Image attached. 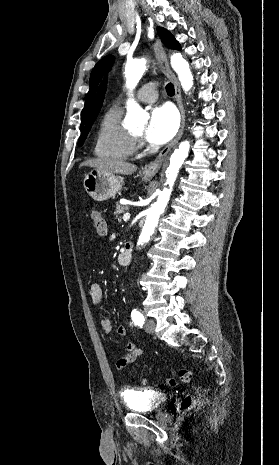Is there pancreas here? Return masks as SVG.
Instances as JSON below:
<instances>
[{"instance_id": "1", "label": "pancreas", "mask_w": 279, "mask_h": 465, "mask_svg": "<svg viewBox=\"0 0 279 465\" xmlns=\"http://www.w3.org/2000/svg\"><path fill=\"white\" fill-rule=\"evenodd\" d=\"M128 210V206L120 205L119 203L116 204V210L114 212L116 218L121 221L120 214L124 213Z\"/></svg>"}]
</instances>
